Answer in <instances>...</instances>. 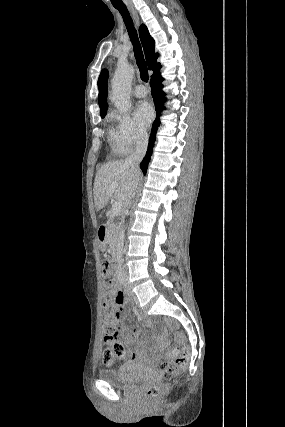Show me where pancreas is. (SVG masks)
I'll return each mask as SVG.
<instances>
[{"mask_svg":"<svg viewBox=\"0 0 285 427\" xmlns=\"http://www.w3.org/2000/svg\"><path fill=\"white\" fill-rule=\"evenodd\" d=\"M114 215H111L110 222L108 224V242L109 244H113L116 240L118 225L113 222Z\"/></svg>","mask_w":285,"mask_h":427,"instance_id":"obj_1","label":"pancreas"}]
</instances>
